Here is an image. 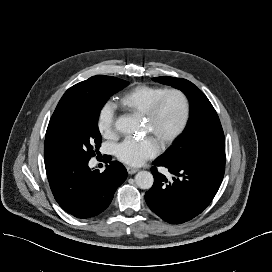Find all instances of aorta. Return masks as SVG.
<instances>
[{
  "mask_svg": "<svg viewBox=\"0 0 272 272\" xmlns=\"http://www.w3.org/2000/svg\"><path fill=\"white\" fill-rule=\"evenodd\" d=\"M137 128L138 122L133 116L123 115L115 122V129L122 134H132ZM153 182V175L148 171H140L135 175V183L141 189H150Z\"/></svg>",
  "mask_w": 272,
  "mask_h": 272,
  "instance_id": "1",
  "label": "aorta"
}]
</instances>
